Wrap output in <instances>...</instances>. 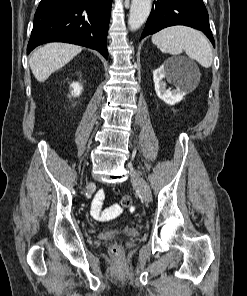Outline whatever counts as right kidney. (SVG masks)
Here are the masks:
<instances>
[{
    "instance_id": "right-kidney-1",
    "label": "right kidney",
    "mask_w": 247,
    "mask_h": 296,
    "mask_svg": "<svg viewBox=\"0 0 247 296\" xmlns=\"http://www.w3.org/2000/svg\"><path fill=\"white\" fill-rule=\"evenodd\" d=\"M71 87H72V96H79L82 92V87L80 86V84L78 82H73L71 84Z\"/></svg>"
}]
</instances>
